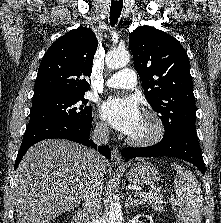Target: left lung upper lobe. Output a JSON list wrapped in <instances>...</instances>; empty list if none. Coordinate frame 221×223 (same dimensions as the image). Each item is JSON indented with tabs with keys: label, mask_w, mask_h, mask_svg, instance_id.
Wrapping results in <instances>:
<instances>
[{
	"label": "left lung upper lobe",
	"mask_w": 221,
	"mask_h": 223,
	"mask_svg": "<svg viewBox=\"0 0 221 223\" xmlns=\"http://www.w3.org/2000/svg\"><path fill=\"white\" fill-rule=\"evenodd\" d=\"M129 45L145 97L163 122V138L196 129L189 59L181 44L161 30L139 26L131 32Z\"/></svg>",
	"instance_id": "1"
}]
</instances>
